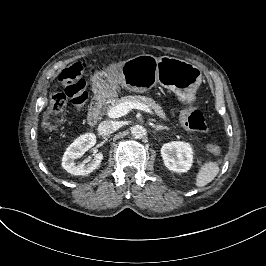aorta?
<instances>
[{"label":"aorta","instance_id":"aorta-1","mask_svg":"<svg viewBox=\"0 0 266 266\" xmlns=\"http://www.w3.org/2000/svg\"><path fill=\"white\" fill-rule=\"evenodd\" d=\"M131 134L136 139H142L146 136L147 131L143 126L135 125L131 128Z\"/></svg>","mask_w":266,"mask_h":266}]
</instances>
